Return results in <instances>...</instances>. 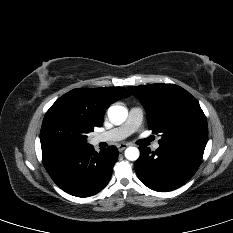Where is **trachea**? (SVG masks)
Masks as SVG:
<instances>
[{"label": "trachea", "mask_w": 233, "mask_h": 233, "mask_svg": "<svg viewBox=\"0 0 233 233\" xmlns=\"http://www.w3.org/2000/svg\"><path fill=\"white\" fill-rule=\"evenodd\" d=\"M151 140H153L152 137H149L148 139H146V141H151Z\"/></svg>", "instance_id": "3493384b"}]
</instances>
